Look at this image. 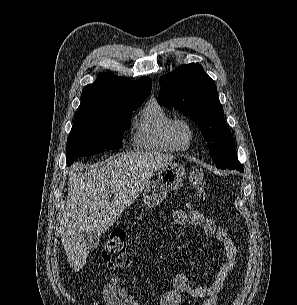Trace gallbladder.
I'll return each mask as SVG.
<instances>
[{"label": "gallbladder", "instance_id": "1", "mask_svg": "<svg viewBox=\"0 0 297 305\" xmlns=\"http://www.w3.org/2000/svg\"><path fill=\"white\" fill-rule=\"evenodd\" d=\"M99 237L100 235L95 232H84L83 240L88 250H95L99 245Z\"/></svg>", "mask_w": 297, "mask_h": 305}]
</instances>
